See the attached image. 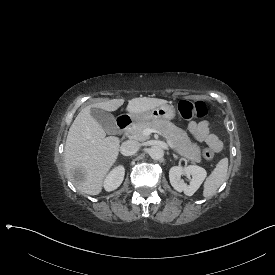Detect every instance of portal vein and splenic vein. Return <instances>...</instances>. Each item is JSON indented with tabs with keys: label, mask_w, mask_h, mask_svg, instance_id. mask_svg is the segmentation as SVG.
Instances as JSON below:
<instances>
[{
	"label": "portal vein and splenic vein",
	"mask_w": 275,
	"mask_h": 275,
	"mask_svg": "<svg viewBox=\"0 0 275 275\" xmlns=\"http://www.w3.org/2000/svg\"><path fill=\"white\" fill-rule=\"evenodd\" d=\"M152 133H156V134L160 135L161 137H163L164 140L166 141L168 147L173 149V150L175 149L172 142L170 141V139L164 133H162L161 131H159L157 129H152V128H146L142 131V134L144 136H149Z\"/></svg>",
	"instance_id": "1"
}]
</instances>
